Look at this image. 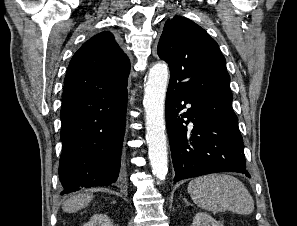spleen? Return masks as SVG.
I'll return each instance as SVG.
<instances>
[{
	"label": "spleen",
	"instance_id": "spleen-1",
	"mask_svg": "<svg viewBox=\"0 0 297 226\" xmlns=\"http://www.w3.org/2000/svg\"><path fill=\"white\" fill-rule=\"evenodd\" d=\"M188 193L194 203L207 211H233L249 215L254 211V200L245 185L227 174H210L193 179Z\"/></svg>",
	"mask_w": 297,
	"mask_h": 226
}]
</instances>
